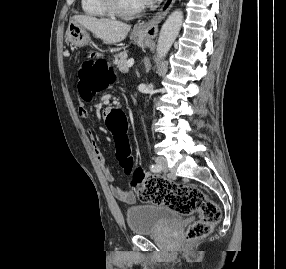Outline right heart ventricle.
<instances>
[{
	"label": "right heart ventricle",
	"instance_id": "obj_1",
	"mask_svg": "<svg viewBox=\"0 0 286 269\" xmlns=\"http://www.w3.org/2000/svg\"><path fill=\"white\" fill-rule=\"evenodd\" d=\"M81 8L85 15L94 18L109 17V14L102 7L100 0H81Z\"/></svg>",
	"mask_w": 286,
	"mask_h": 269
}]
</instances>
